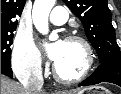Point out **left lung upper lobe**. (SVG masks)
<instances>
[{
    "instance_id": "left-lung-upper-lobe-1",
    "label": "left lung upper lobe",
    "mask_w": 121,
    "mask_h": 94,
    "mask_svg": "<svg viewBox=\"0 0 121 94\" xmlns=\"http://www.w3.org/2000/svg\"><path fill=\"white\" fill-rule=\"evenodd\" d=\"M81 20L86 36L97 52L100 63L121 62V52L111 23L107 0H63Z\"/></svg>"
}]
</instances>
